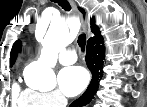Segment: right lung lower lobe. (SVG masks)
Returning <instances> with one entry per match:
<instances>
[{"instance_id":"obj_1","label":"right lung lower lobe","mask_w":147,"mask_h":107,"mask_svg":"<svg viewBox=\"0 0 147 107\" xmlns=\"http://www.w3.org/2000/svg\"><path fill=\"white\" fill-rule=\"evenodd\" d=\"M105 59V47L103 37H97L87 42L86 63L92 73V80L87 90L81 97L76 99L70 107H82L88 104L93 98L98 88V83L102 77V65Z\"/></svg>"}]
</instances>
